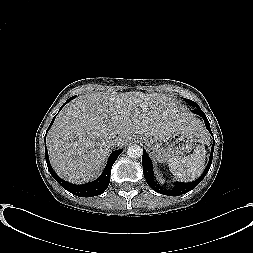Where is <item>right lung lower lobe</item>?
<instances>
[{
	"mask_svg": "<svg viewBox=\"0 0 253 253\" xmlns=\"http://www.w3.org/2000/svg\"><path fill=\"white\" fill-rule=\"evenodd\" d=\"M74 98L71 97L69 98L63 105L62 107L68 103L70 100H72ZM62 107L60 108V110L62 109ZM55 117L53 118L49 128L51 127L53 121H54ZM48 128V130H49ZM47 130V131H48ZM47 133V132H46ZM122 149L120 150H116L114 151L108 159L107 165L104 169V171L102 172L101 176L93 181V182H89L87 184H83V185H74L71 184L69 182L64 181L63 179H61L52 169L50 162H49V157H48V153H47V149H45V155H46V162H47V166L48 169L51 173V175L53 176V178L67 191L73 193L74 195H77L79 197H91V196H97L102 194L108 187L109 182H110V174H111V169L112 166L114 164V162L116 161V159L118 158V156L121 154Z\"/></svg>",
	"mask_w": 253,
	"mask_h": 253,
	"instance_id": "98d812e1",
	"label": "right lung lower lobe"
}]
</instances>
